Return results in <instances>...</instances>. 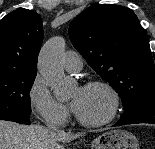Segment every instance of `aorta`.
Instances as JSON below:
<instances>
[{"instance_id": "obj_1", "label": "aorta", "mask_w": 155, "mask_h": 149, "mask_svg": "<svg viewBox=\"0 0 155 149\" xmlns=\"http://www.w3.org/2000/svg\"><path fill=\"white\" fill-rule=\"evenodd\" d=\"M66 43L63 37L57 36L42 47L38 67L53 93L58 98L67 97L73 87V81L64 74L62 58Z\"/></svg>"}]
</instances>
